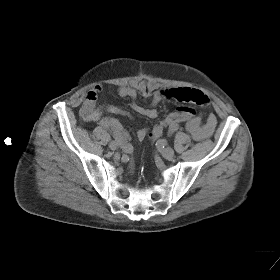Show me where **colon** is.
Masks as SVG:
<instances>
[{"mask_svg":"<svg viewBox=\"0 0 280 280\" xmlns=\"http://www.w3.org/2000/svg\"><path fill=\"white\" fill-rule=\"evenodd\" d=\"M195 114L194 109L189 106H180L175 112L170 113L162 121H158L149 134L151 140H156L163 134L165 128L175 122H185Z\"/></svg>","mask_w":280,"mask_h":280,"instance_id":"5ec220e1","label":"colon"}]
</instances>
